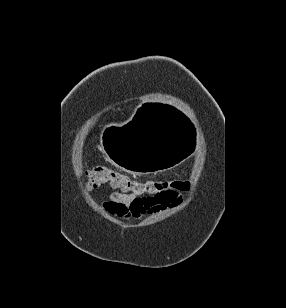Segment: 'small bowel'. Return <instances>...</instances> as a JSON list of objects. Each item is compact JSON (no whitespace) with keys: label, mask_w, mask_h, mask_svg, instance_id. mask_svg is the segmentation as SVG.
Listing matches in <instances>:
<instances>
[{"label":"small bowel","mask_w":286,"mask_h":308,"mask_svg":"<svg viewBox=\"0 0 286 308\" xmlns=\"http://www.w3.org/2000/svg\"><path fill=\"white\" fill-rule=\"evenodd\" d=\"M183 191L171 190L165 196L139 197L134 194L116 193L103 203V208L118 218H140L145 213L158 212L166 207L181 204Z\"/></svg>","instance_id":"c3829d8e"}]
</instances>
